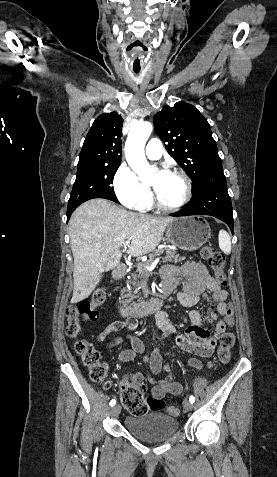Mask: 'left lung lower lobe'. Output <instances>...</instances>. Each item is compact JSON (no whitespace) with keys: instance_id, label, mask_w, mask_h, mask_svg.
Wrapping results in <instances>:
<instances>
[{"instance_id":"left-lung-lower-lobe-1","label":"left lung lower lobe","mask_w":277,"mask_h":477,"mask_svg":"<svg viewBox=\"0 0 277 477\" xmlns=\"http://www.w3.org/2000/svg\"><path fill=\"white\" fill-rule=\"evenodd\" d=\"M210 215L224 221L234 233L232 204L227 192L223 168L206 173L194 188V198L190 205L171 216Z\"/></svg>"}]
</instances>
